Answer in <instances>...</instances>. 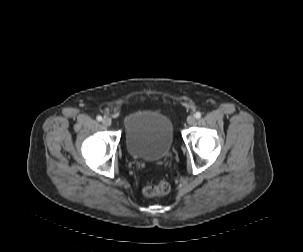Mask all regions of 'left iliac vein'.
I'll list each match as a JSON object with an SVG mask.
<instances>
[{"label":"left iliac vein","instance_id":"4c4485c4","mask_svg":"<svg viewBox=\"0 0 303 252\" xmlns=\"http://www.w3.org/2000/svg\"><path fill=\"white\" fill-rule=\"evenodd\" d=\"M187 122H188V124H189V125H194V124H195V122H196V118H195V116H194V115H190V116H188V118H187Z\"/></svg>","mask_w":303,"mask_h":252}]
</instances>
